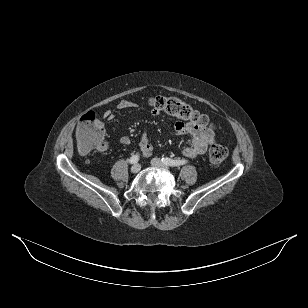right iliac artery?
Masks as SVG:
<instances>
[{
    "instance_id": "obj_1",
    "label": "right iliac artery",
    "mask_w": 308,
    "mask_h": 308,
    "mask_svg": "<svg viewBox=\"0 0 308 308\" xmlns=\"http://www.w3.org/2000/svg\"><path fill=\"white\" fill-rule=\"evenodd\" d=\"M139 161V155H134L129 159L130 164H135Z\"/></svg>"
}]
</instances>
